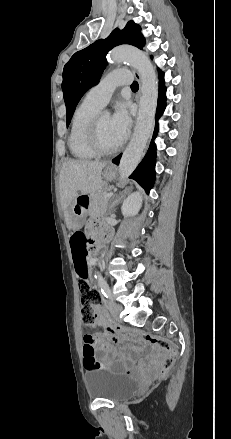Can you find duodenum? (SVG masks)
<instances>
[{
	"label": "duodenum",
	"instance_id": "obj_1",
	"mask_svg": "<svg viewBox=\"0 0 231 439\" xmlns=\"http://www.w3.org/2000/svg\"><path fill=\"white\" fill-rule=\"evenodd\" d=\"M91 243H92V247H93V248L97 246V244H96V240H92Z\"/></svg>",
	"mask_w": 231,
	"mask_h": 439
}]
</instances>
